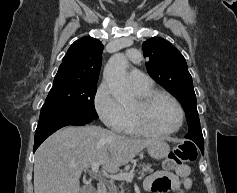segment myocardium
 <instances>
[{
    "label": "myocardium",
    "mask_w": 237,
    "mask_h": 193,
    "mask_svg": "<svg viewBox=\"0 0 237 193\" xmlns=\"http://www.w3.org/2000/svg\"><path fill=\"white\" fill-rule=\"evenodd\" d=\"M159 97H166L169 100H171L179 112V122L177 126L171 130L167 131L155 130L149 127L144 122L143 118L148 107L154 100H156ZM131 115L133 124L137 130H139L141 133L145 135L156 136V137L169 136L178 132L182 128L185 119L184 109L180 104V102L173 95L164 91H152L144 96H140L137 100V106L131 108Z\"/></svg>",
    "instance_id": "f54148a6"
}]
</instances>
